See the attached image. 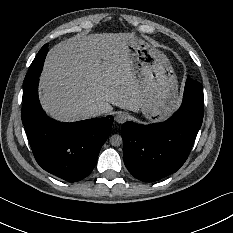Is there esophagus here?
I'll use <instances>...</instances> for the list:
<instances>
[{
	"label": "esophagus",
	"instance_id": "esophagus-1",
	"mask_svg": "<svg viewBox=\"0 0 233 233\" xmlns=\"http://www.w3.org/2000/svg\"><path fill=\"white\" fill-rule=\"evenodd\" d=\"M128 116L126 113H119L116 115L115 120L119 123V124H123L124 122H126Z\"/></svg>",
	"mask_w": 233,
	"mask_h": 233
}]
</instances>
